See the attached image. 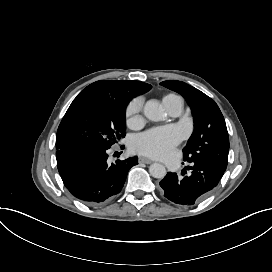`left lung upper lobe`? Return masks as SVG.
Listing matches in <instances>:
<instances>
[{
  "label": "left lung upper lobe",
  "instance_id": "1",
  "mask_svg": "<svg viewBox=\"0 0 272 272\" xmlns=\"http://www.w3.org/2000/svg\"><path fill=\"white\" fill-rule=\"evenodd\" d=\"M160 84L181 94L195 116L193 134L183 149L184 161H201L226 170L229 137L224 117L214 100L181 81L167 80Z\"/></svg>",
  "mask_w": 272,
  "mask_h": 272
}]
</instances>
